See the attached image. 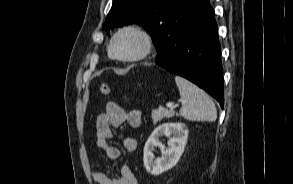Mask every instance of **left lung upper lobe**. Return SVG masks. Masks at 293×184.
<instances>
[{"label": "left lung upper lobe", "mask_w": 293, "mask_h": 184, "mask_svg": "<svg viewBox=\"0 0 293 184\" xmlns=\"http://www.w3.org/2000/svg\"><path fill=\"white\" fill-rule=\"evenodd\" d=\"M182 0H113L103 29L109 35L115 27L140 23L150 34L157 52L163 49L167 38L172 10Z\"/></svg>", "instance_id": "1"}]
</instances>
